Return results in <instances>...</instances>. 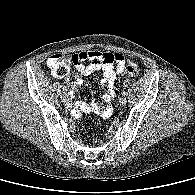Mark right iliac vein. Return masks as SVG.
I'll return each instance as SVG.
<instances>
[{
	"mask_svg": "<svg viewBox=\"0 0 195 195\" xmlns=\"http://www.w3.org/2000/svg\"><path fill=\"white\" fill-rule=\"evenodd\" d=\"M62 101L66 104H68L70 102V97L67 93H64L62 96Z\"/></svg>",
	"mask_w": 195,
	"mask_h": 195,
	"instance_id": "right-iliac-vein-1",
	"label": "right iliac vein"
}]
</instances>
